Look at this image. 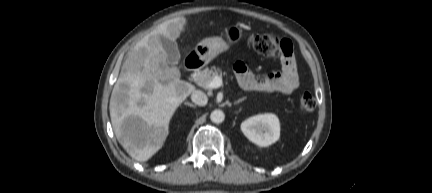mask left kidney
<instances>
[{
	"instance_id": "1",
	"label": "left kidney",
	"mask_w": 432,
	"mask_h": 193,
	"mask_svg": "<svg viewBox=\"0 0 432 193\" xmlns=\"http://www.w3.org/2000/svg\"><path fill=\"white\" fill-rule=\"evenodd\" d=\"M241 131L251 142L267 147L279 139L280 122L275 114H258L243 121Z\"/></svg>"
}]
</instances>
